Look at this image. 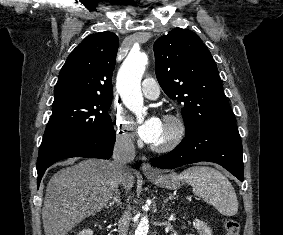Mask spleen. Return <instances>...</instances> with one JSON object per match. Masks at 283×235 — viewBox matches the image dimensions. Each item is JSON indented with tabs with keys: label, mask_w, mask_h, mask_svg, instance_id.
Listing matches in <instances>:
<instances>
[{
	"label": "spleen",
	"mask_w": 283,
	"mask_h": 235,
	"mask_svg": "<svg viewBox=\"0 0 283 235\" xmlns=\"http://www.w3.org/2000/svg\"><path fill=\"white\" fill-rule=\"evenodd\" d=\"M192 186L196 196L214 206L222 215L234 216L238 200L231 182L218 170L207 166H193L178 176Z\"/></svg>",
	"instance_id": "obj_1"
}]
</instances>
